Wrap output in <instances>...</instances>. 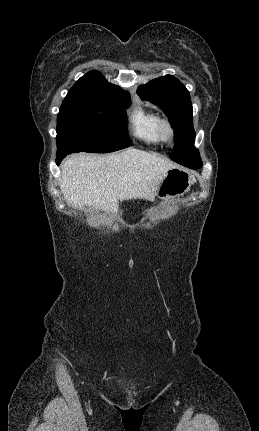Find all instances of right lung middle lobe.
<instances>
[{
  "label": "right lung middle lobe",
  "mask_w": 259,
  "mask_h": 431,
  "mask_svg": "<svg viewBox=\"0 0 259 431\" xmlns=\"http://www.w3.org/2000/svg\"><path fill=\"white\" fill-rule=\"evenodd\" d=\"M129 94L65 97L57 118V153H107L130 145L126 111Z\"/></svg>",
  "instance_id": "1"
}]
</instances>
